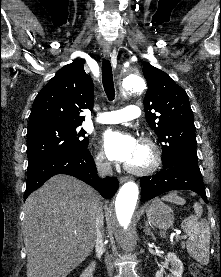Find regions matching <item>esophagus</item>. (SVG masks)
Here are the masks:
<instances>
[{"mask_svg": "<svg viewBox=\"0 0 221 277\" xmlns=\"http://www.w3.org/2000/svg\"><path fill=\"white\" fill-rule=\"evenodd\" d=\"M103 54H104V57L108 58L109 56H111V50L110 49H104ZM129 180H130V177H126V176L120 177V179H119L120 183H124V182H127Z\"/></svg>", "mask_w": 221, "mask_h": 277, "instance_id": "34e87169", "label": "esophagus"}]
</instances>
